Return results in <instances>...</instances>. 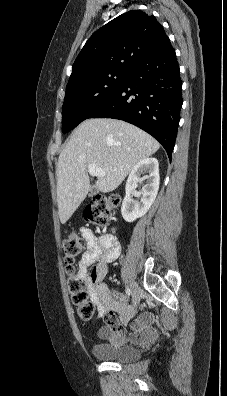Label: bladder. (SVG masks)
I'll use <instances>...</instances> for the list:
<instances>
[{
  "mask_svg": "<svg viewBox=\"0 0 227 396\" xmlns=\"http://www.w3.org/2000/svg\"><path fill=\"white\" fill-rule=\"evenodd\" d=\"M92 354L94 357L104 361L117 363H128L137 360L140 352L129 345L97 343L92 346Z\"/></svg>",
  "mask_w": 227,
  "mask_h": 396,
  "instance_id": "31cf9c89",
  "label": "bladder"
}]
</instances>
